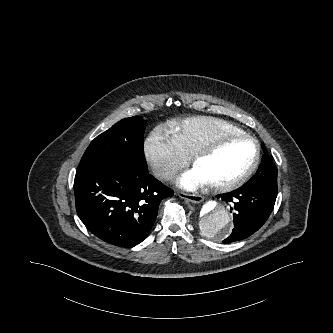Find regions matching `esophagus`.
<instances>
[{"mask_svg":"<svg viewBox=\"0 0 333 333\" xmlns=\"http://www.w3.org/2000/svg\"><path fill=\"white\" fill-rule=\"evenodd\" d=\"M177 194L180 198L188 200L192 203L198 204L203 201V198L198 194H189V193H185V192H181V191H179Z\"/></svg>","mask_w":333,"mask_h":333,"instance_id":"esophagus-1","label":"esophagus"}]
</instances>
